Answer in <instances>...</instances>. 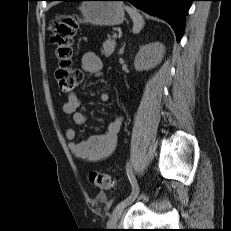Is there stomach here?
<instances>
[{
    "instance_id": "stomach-1",
    "label": "stomach",
    "mask_w": 231,
    "mask_h": 231,
    "mask_svg": "<svg viewBox=\"0 0 231 231\" xmlns=\"http://www.w3.org/2000/svg\"><path fill=\"white\" fill-rule=\"evenodd\" d=\"M84 20L96 26H114L124 21L121 2L110 0H88L79 7Z\"/></svg>"
}]
</instances>
